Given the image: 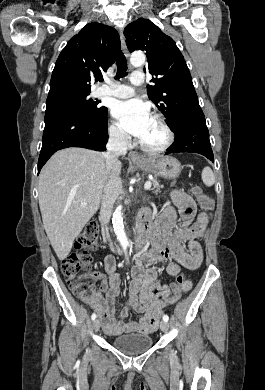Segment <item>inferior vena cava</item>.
I'll return each instance as SVG.
<instances>
[{
    "label": "inferior vena cava",
    "instance_id": "inferior-vena-cava-1",
    "mask_svg": "<svg viewBox=\"0 0 265 390\" xmlns=\"http://www.w3.org/2000/svg\"><path fill=\"white\" fill-rule=\"evenodd\" d=\"M106 148L107 150L103 156L106 160L107 171L110 172L113 164L117 161L118 156L125 155L127 153L126 135L119 131L112 132ZM120 188L121 181L118 177H110L104 186L101 200L100 219L105 225L109 223L113 205Z\"/></svg>",
    "mask_w": 265,
    "mask_h": 390
}]
</instances>
